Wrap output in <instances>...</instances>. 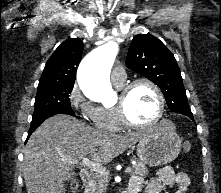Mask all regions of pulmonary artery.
<instances>
[{"label": "pulmonary artery", "mask_w": 221, "mask_h": 193, "mask_svg": "<svg viewBox=\"0 0 221 193\" xmlns=\"http://www.w3.org/2000/svg\"><path fill=\"white\" fill-rule=\"evenodd\" d=\"M127 77L126 71L123 67L118 66L112 70L111 81L115 85H123Z\"/></svg>", "instance_id": "e3ab8cb5"}]
</instances>
